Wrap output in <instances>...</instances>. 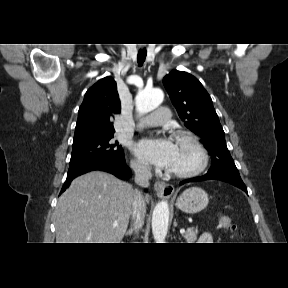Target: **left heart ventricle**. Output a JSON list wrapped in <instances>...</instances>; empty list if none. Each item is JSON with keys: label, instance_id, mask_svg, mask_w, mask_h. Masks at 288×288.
<instances>
[{"label": "left heart ventricle", "instance_id": "b2bd125f", "mask_svg": "<svg viewBox=\"0 0 288 288\" xmlns=\"http://www.w3.org/2000/svg\"><path fill=\"white\" fill-rule=\"evenodd\" d=\"M175 156L168 167L170 170H185L195 166L198 162V157L194 149L187 143L175 141Z\"/></svg>", "mask_w": 288, "mask_h": 288}]
</instances>
